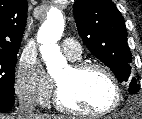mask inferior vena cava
Instances as JSON below:
<instances>
[{"label":"inferior vena cava","instance_id":"obj_1","mask_svg":"<svg viewBox=\"0 0 142 119\" xmlns=\"http://www.w3.org/2000/svg\"><path fill=\"white\" fill-rule=\"evenodd\" d=\"M35 104L31 98L27 96L19 97V119H33L36 115Z\"/></svg>","mask_w":142,"mask_h":119}]
</instances>
